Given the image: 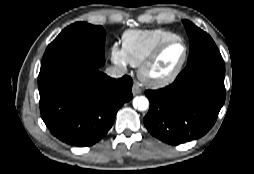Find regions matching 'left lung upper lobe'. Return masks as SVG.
Here are the masks:
<instances>
[{
  "mask_svg": "<svg viewBox=\"0 0 254 174\" xmlns=\"http://www.w3.org/2000/svg\"><path fill=\"white\" fill-rule=\"evenodd\" d=\"M190 40L187 66L181 72L189 74L202 68L225 70L223 58L212 38L188 20L182 21Z\"/></svg>",
  "mask_w": 254,
  "mask_h": 174,
  "instance_id": "5c2ea615",
  "label": "left lung upper lobe"
}]
</instances>
